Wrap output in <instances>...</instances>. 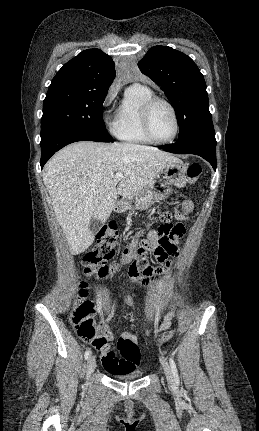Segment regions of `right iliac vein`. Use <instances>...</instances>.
<instances>
[{
	"mask_svg": "<svg viewBox=\"0 0 259 431\" xmlns=\"http://www.w3.org/2000/svg\"><path fill=\"white\" fill-rule=\"evenodd\" d=\"M96 368V360L94 356H90L87 361V377L89 378Z\"/></svg>",
	"mask_w": 259,
	"mask_h": 431,
	"instance_id": "obj_1",
	"label": "right iliac vein"
}]
</instances>
